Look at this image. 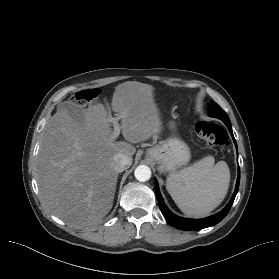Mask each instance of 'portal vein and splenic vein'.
<instances>
[{
  "label": "portal vein and splenic vein",
  "instance_id": "obj_1",
  "mask_svg": "<svg viewBox=\"0 0 279 279\" xmlns=\"http://www.w3.org/2000/svg\"><path fill=\"white\" fill-rule=\"evenodd\" d=\"M112 123H113L114 131H113V133L111 135V139L115 140V139H117V137L120 134L121 127H120V125L118 123V119L117 118H113L112 119Z\"/></svg>",
  "mask_w": 279,
  "mask_h": 279
}]
</instances>
